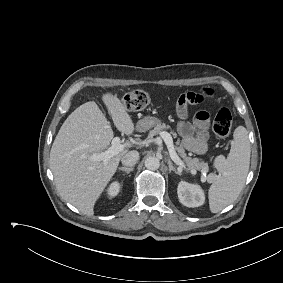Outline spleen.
I'll use <instances>...</instances> for the list:
<instances>
[{"label":"spleen","mask_w":283,"mask_h":283,"mask_svg":"<svg viewBox=\"0 0 283 283\" xmlns=\"http://www.w3.org/2000/svg\"><path fill=\"white\" fill-rule=\"evenodd\" d=\"M234 140L227 158L220 155L215 160L219 171L208 191L209 207L217 213L233 203L240 194L250 165V142L245 127L239 126L234 131Z\"/></svg>","instance_id":"1"}]
</instances>
